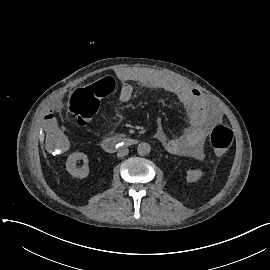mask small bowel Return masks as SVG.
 Instances as JSON below:
<instances>
[{
    "instance_id": "small-bowel-1",
    "label": "small bowel",
    "mask_w": 270,
    "mask_h": 270,
    "mask_svg": "<svg viewBox=\"0 0 270 270\" xmlns=\"http://www.w3.org/2000/svg\"><path fill=\"white\" fill-rule=\"evenodd\" d=\"M119 78L123 83L119 99L128 102L133 96V87L126 81H135L147 86L165 90L186 102L191 108V128L188 133L169 137L162 127L156 130L155 137L172 154L187 155L197 160L204 158V141L213 126L221 121V115L212 102L197 89L185 86L162 72L149 68H134L122 71ZM59 114V99H48L45 128L47 132L48 149L54 155L63 154L67 148L74 146V138L69 134H59L57 115Z\"/></svg>"
}]
</instances>
